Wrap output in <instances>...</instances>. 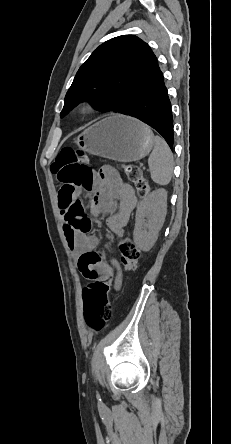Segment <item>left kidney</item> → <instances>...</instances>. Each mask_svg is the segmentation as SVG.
Returning a JSON list of instances; mask_svg holds the SVG:
<instances>
[{"label": "left kidney", "instance_id": "left-kidney-1", "mask_svg": "<svg viewBox=\"0 0 231 444\" xmlns=\"http://www.w3.org/2000/svg\"><path fill=\"white\" fill-rule=\"evenodd\" d=\"M167 212V192L157 189L147 195L136 211L133 239L142 251H149L158 239Z\"/></svg>", "mask_w": 231, "mask_h": 444}]
</instances>
